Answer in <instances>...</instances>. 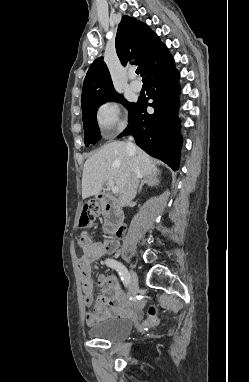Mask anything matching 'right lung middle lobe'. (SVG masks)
Returning <instances> with one entry per match:
<instances>
[{"label": "right lung middle lobe", "mask_w": 249, "mask_h": 382, "mask_svg": "<svg viewBox=\"0 0 249 382\" xmlns=\"http://www.w3.org/2000/svg\"><path fill=\"white\" fill-rule=\"evenodd\" d=\"M108 101H117L123 103L124 106L129 110V115L135 106L134 102L130 103L124 100L123 96L119 94L112 97L92 101L82 110V119L85 131L84 141L86 146H89L91 143L95 144L101 138L96 120V114L98 107Z\"/></svg>", "instance_id": "1"}]
</instances>
